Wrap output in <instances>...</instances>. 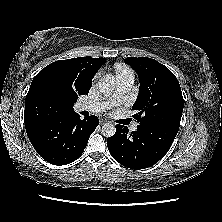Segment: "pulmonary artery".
<instances>
[{
  "mask_svg": "<svg viewBox=\"0 0 222 222\" xmlns=\"http://www.w3.org/2000/svg\"><path fill=\"white\" fill-rule=\"evenodd\" d=\"M133 77H122L116 80V90L109 101H88L78 105L80 111L102 112L112 105H116L124 101L133 86ZM137 124L132 125L131 130L136 131Z\"/></svg>",
  "mask_w": 222,
  "mask_h": 222,
  "instance_id": "e3ab8cb5",
  "label": "pulmonary artery"
}]
</instances>
